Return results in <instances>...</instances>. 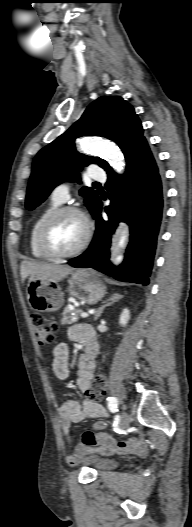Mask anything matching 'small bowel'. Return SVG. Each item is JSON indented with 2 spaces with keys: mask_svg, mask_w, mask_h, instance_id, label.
Instances as JSON below:
<instances>
[{
  "mask_svg": "<svg viewBox=\"0 0 192 527\" xmlns=\"http://www.w3.org/2000/svg\"><path fill=\"white\" fill-rule=\"evenodd\" d=\"M68 336L72 341L84 343L85 352L80 356L77 369V386L83 391L87 399L82 403L66 398L59 408L58 414L64 438L72 448V435L70 432L71 423L81 422L86 418L99 419L93 424L94 431H83L81 442L77 444L67 457L70 464H76L79 459L86 454L95 445H101V452L111 454L115 450L144 453L145 449L142 443L136 439H129L123 442H115L110 435L103 431L106 428V422L103 420L107 412L98 400H93L90 395L94 381L93 371L95 368V357L98 351V343L94 330L85 324L72 326L68 331ZM52 370L55 376L60 380H66L69 377V347L66 343H59L53 350ZM133 457V454H130Z\"/></svg>",
  "mask_w": 192,
  "mask_h": 527,
  "instance_id": "obj_1",
  "label": "small bowel"
}]
</instances>
